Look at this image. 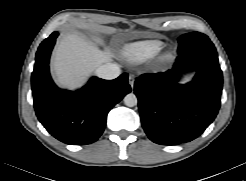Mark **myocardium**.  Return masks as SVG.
I'll use <instances>...</instances> for the list:
<instances>
[{"label":"myocardium","instance_id":"1","mask_svg":"<svg viewBox=\"0 0 246 181\" xmlns=\"http://www.w3.org/2000/svg\"><path fill=\"white\" fill-rule=\"evenodd\" d=\"M173 58H174V54L171 51H167L160 55L158 61L160 63H168L171 62Z\"/></svg>","mask_w":246,"mask_h":181}]
</instances>
